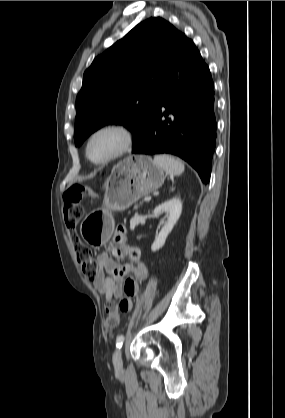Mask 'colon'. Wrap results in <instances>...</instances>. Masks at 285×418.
<instances>
[{
  "instance_id": "1",
  "label": "colon",
  "mask_w": 285,
  "mask_h": 418,
  "mask_svg": "<svg viewBox=\"0 0 285 418\" xmlns=\"http://www.w3.org/2000/svg\"><path fill=\"white\" fill-rule=\"evenodd\" d=\"M83 192L79 186L74 185L64 194V220L68 231V238L73 245L77 262L82 268L83 273L90 279L97 275V263L92 258L90 248L85 245L78 233L77 227L82 216L80 202ZM124 232L119 228L117 233ZM106 323L108 327H115L119 323V310L114 301L105 304Z\"/></svg>"
}]
</instances>
